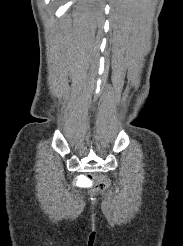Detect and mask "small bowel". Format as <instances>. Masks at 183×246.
Listing matches in <instances>:
<instances>
[{"label":"small bowel","instance_id":"c3829d8e","mask_svg":"<svg viewBox=\"0 0 183 246\" xmlns=\"http://www.w3.org/2000/svg\"><path fill=\"white\" fill-rule=\"evenodd\" d=\"M78 179H87V174H78ZM87 180H76V185H87Z\"/></svg>","mask_w":183,"mask_h":246}]
</instances>
